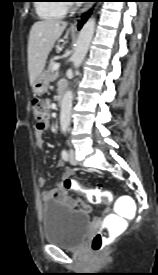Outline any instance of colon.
I'll list each match as a JSON object with an SVG mask.
<instances>
[{
    "instance_id": "1",
    "label": "colon",
    "mask_w": 158,
    "mask_h": 275,
    "mask_svg": "<svg viewBox=\"0 0 158 275\" xmlns=\"http://www.w3.org/2000/svg\"><path fill=\"white\" fill-rule=\"evenodd\" d=\"M32 108L36 120V129L39 131H45L48 128V102L43 99L35 98L32 100ZM64 187L67 191H76L87 195L92 202L103 201L109 203L112 200L111 192L81 188L70 177L64 179ZM114 238L115 232L107 227H103L92 237L91 247L96 252L101 251Z\"/></svg>"
}]
</instances>
